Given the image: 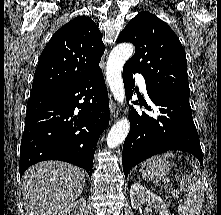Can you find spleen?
Wrapping results in <instances>:
<instances>
[{
  "label": "spleen",
  "mask_w": 221,
  "mask_h": 215,
  "mask_svg": "<svg viewBox=\"0 0 221 215\" xmlns=\"http://www.w3.org/2000/svg\"><path fill=\"white\" fill-rule=\"evenodd\" d=\"M175 157L173 153H167L164 156ZM181 156H179V159ZM189 160L188 158H186ZM193 172L183 175L180 181L179 188L183 192H186V198L184 202L180 203L177 207L179 215H199L204 197V184L199 176V170L195 164L192 163ZM176 179L179 180L180 176L176 175ZM157 184V180H156Z\"/></svg>",
  "instance_id": "spleen-1"
}]
</instances>
